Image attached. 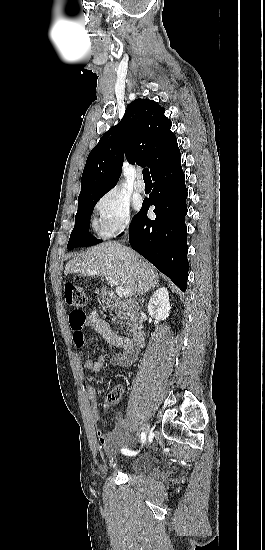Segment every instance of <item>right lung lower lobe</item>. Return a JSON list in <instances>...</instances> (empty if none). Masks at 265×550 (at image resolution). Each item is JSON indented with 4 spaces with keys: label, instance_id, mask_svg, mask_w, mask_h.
Wrapping results in <instances>:
<instances>
[{
    "label": "right lung lower lobe",
    "instance_id": "right-lung-lower-lobe-1",
    "mask_svg": "<svg viewBox=\"0 0 265 550\" xmlns=\"http://www.w3.org/2000/svg\"><path fill=\"white\" fill-rule=\"evenodd\" d=\"M151 176L154 189L129 226V243L185 292L189 270L184 219L187 189L180 150ZM150 205L155 206V220L147 217Z\"/></svg>",
    "mask_w": 265,
    "mask_h": 550
}]
</instances>
